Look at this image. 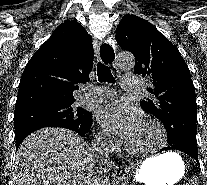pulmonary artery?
I'll list each match as a JSON object with an SVG mask.
<instances>
[{
	"label": "pulmonary artery",
	"instance_id": "pulmonary-artery-1",
	"mask_svg": "<svg viewBox=\"0 0 207 185\" xmlns=\"http://www.w3.org/2000/svg\"><path fill=\"white\" fill-rule=\"evenodd\" d=\"M121 82H125L124 91H139V81L137 77H121ZM116 91L112 88L106 90H90L83 98L86 102L103 103L113 99Z\"/></svg>",
	"mask_w": 207,
	"mask_h": 185
}]
</instances>
